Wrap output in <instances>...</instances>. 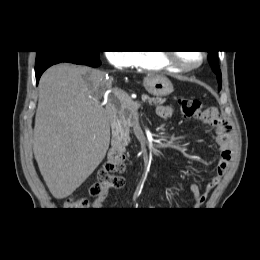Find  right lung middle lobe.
<instances>
[{"mask_svg": "<svg viewBox=\"0 0 260 260\" xmlns=\"http://www.w3.org/2000/svg\"><path fill=\"white\" fill-rule=\"evenodd\" d=\"M63 53H72L77 55H87L95 58H99V51H62V52H56V51H38L36 56V62L35 67L39 66L41 63L45 62L49 58Z\"/></svg>", "mask_w": 260, "mask_h": 260, "instance_id": "1", "label": "right lung middle lobe"}]
</instances>
